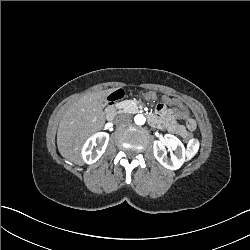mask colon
<instances>
[{
    "mask_svg": "<svg viewBox=\"0 0 250 250\" xmlns=\"http://www.w3.org/2000/svg\"><path fill=\"white\" fill-rule=\"evenodd\" d=\"M126 95V90L120 88V89H116L115 91H113L109 96H108V100L110 102H115L119 99H122L124 96ZM187 126L189 129H194L195 128V123L193 121H187ZM194 139V136L191 133H188L185 137H184V143L185 144H190L192 142V140Z\"/></svg>",
    "mask_w": 250,
    "mask_h": 250,
    "instance_id": "1",
    "label": "colon"
}]
</instances>
